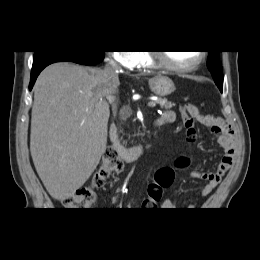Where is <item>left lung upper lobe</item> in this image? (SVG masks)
<instances>
[{"instance_id": "1", "label": "left lung upper lobe", "mask_w": 260, "mask_h": 260, "mask_svg": "<svg viewBox=\"0 0 260 260\" xmlns=\"http://www.w3.org/2000/svg\"><path fill=\"white\" fill-rule=\"evenodd\" d=\"M207 66L216 84H223V71L219 59V51H209Z\"/></svg>"}]
</instances>
